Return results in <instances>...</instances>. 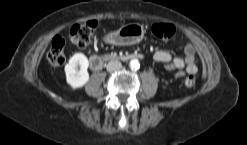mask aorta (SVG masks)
<instances>
[{"label": "aorta", "instance_id": "aorta-1", "mask_svg": "<svg viewBox=\"0 0 247 145\" xmlns=\"http://www.w3.org/2000/svg\"><path fill=\"white\" fill-rule=\"evenodd\" d=\"M129 66L132 70H137L140 68V63L137 59H133L130 61Z\"/></svg>", "mask_w": 247, "mask_h": 145}]
</instances>
